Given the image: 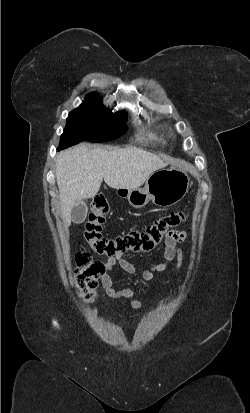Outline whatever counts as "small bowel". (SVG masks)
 Returning <instances> with one entry per match:
<instances>
[{
  "label": "small bowel",
  "mask_w": 250,
  "mask_h": 413,
  "mask_svg": "<svg viewBox=\"0 0 250 413\" xmlns=\"http://www.w3.org/2000/svg\"><path fill=\"white\" fill-rule=\"evenodd\" d=\"M165 249H164V262L154 264L149 269L139 271L136 267L123 257V254H117L109 257L104 263V273L101 276V283L105 289V293L108 297L113 299H125L128 300L131 306L135 309H140L143 306L141 300L134 298V292L131 288L117 289L113 287V281L111 272L116 266L121 268L126 273L137 276L145 281H150L156 278V273L162 272L167 268V264L173 260H176L177 267L179 268L183 260V252L180 244L186 238L185 231L171 230L166 232Z\"/></svg>",
  "instance_id": "small-bowel-1"
}]
</instances>
